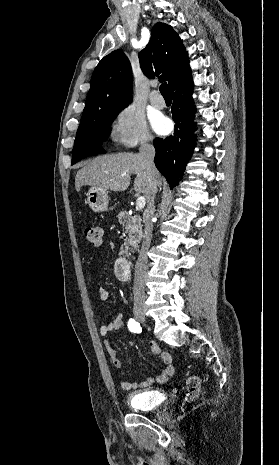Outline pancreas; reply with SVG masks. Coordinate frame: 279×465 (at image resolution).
Wrapping results in <instances>:
<instances>
[{"instance_id": "obj_1", "label": "pancreas", "mask_w": 279, "mask_h": 465, "mask_svg": "<svg viewBox=\"0 0 279 465\" xmlns=\"http://www.w3.org/2000/svg\"><path fill=\"white\" fill-rule=\"evenodd\" d=\"M118 221L125 228L128 237L125 239L121 249L122 254H129L132 248L137 249L142 238V224L138 216H132L126 211L118 214Z\"/></svg>"}]
</instances>
